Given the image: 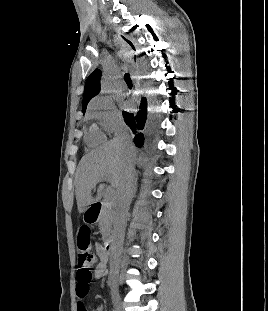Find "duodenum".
I'll return each mask as SVG.
<instances>
[{
	"mask_svg": "<svg viewBox=\"0 0 268 311\" xmlns=\"http://www.w3.org/2000/svg\"><path fill=\"white\" fill-rule=\"evenodd\" d=\"M101 208H102V203L101 202L93 204L89 208V210H88V216L92 220H96L98 215H99V213H100ZM114 246H115V241H114L113 238H109V239L106 240V242H105V250H106L107 254H110V253L113 252Z\"/></svg>",
	"mask_w": 268,
	"mask_h": 311,
	"instance_id": "obj_1",
	"label": "duodenum"
}]
</instances>
